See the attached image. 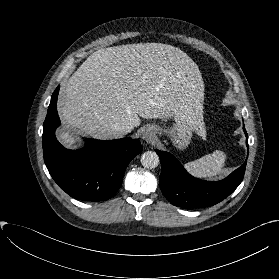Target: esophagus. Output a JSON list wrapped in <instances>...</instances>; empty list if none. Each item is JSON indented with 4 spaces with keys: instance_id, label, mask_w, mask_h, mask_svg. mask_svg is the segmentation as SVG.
Wrapping results in <instances>:
<instances>
[{
    "instance_id": "esophagus-1",
    "label": "esophagus",
    "mask_w": 279,
    "mask_h": 279,
    "mask_svg": "<svg viewBox=\"0 0 279 279\" xmlns=\"http://www.w3.org/2000/svg\"><path fill=\"white\" fill-rule=\"evenodd\" d=\"M142 139L147 142H152L155 140L156 135L154 130L151 127H146L141 135Z\"/></svg>"
}]
</instances>
